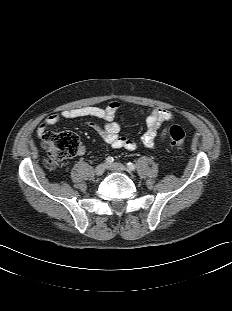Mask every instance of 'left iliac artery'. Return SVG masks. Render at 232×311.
<instances>
[{"label":"left iliac artery","mask_w":232,"mask_h":311,"mask_svg":"<svg viewBox=\"0 0 232 311\" xmlns=\"http://www.w3.org/2000/svg\"><path fill=\"white\" fill-rule=\"evenodd\" d=\"M126 166H127L128 170H130V171H134L136 168L135 165L131 162L127 163Z\"/></svg>","instance_id":"1"}]
</instances>
